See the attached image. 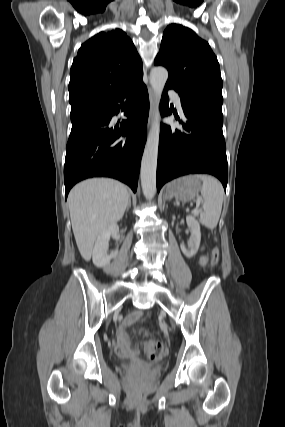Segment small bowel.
Returning <instances> with one entry per match:
<instances>
[{
    "label": "small bowel",
    "instance_id": "1",
    "mask_svg": "<svg viewBox=\"0 0 285 427\" xmlns=\"http://www.w3.org/2000/svg\"><path fill=\"white\" fill-rule=\"evenodd\" d=\"M208 263V258L204 255H202L200 257V264L201 265H206ZM142 315L141 311H135L133 313H131L125 320V325H131L133 323H135ZM120 347L122 348V352L129 355V356H134L136 354V351H134L133 349H131L130 347V341L128 338H121L120 340Z\"/></svg>",
    "mask_w": 285,
    "mask_h": 427
}]
</instances>
